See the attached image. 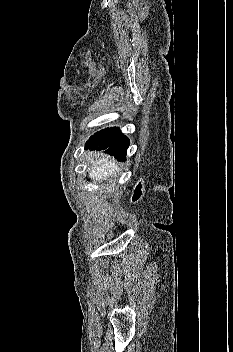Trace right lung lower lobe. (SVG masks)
I'll list each match as a JSON object with an SVG mask.
<instances>
[{
  "label": "right lung lower lobe",
  "instance_id": "obj_1",
  "mask_svg": "<svg viewBox=\"0 0 233 352\" xmlns=\"http://www.w3.org/2000/svg\"><path fill=\"white\" fill-rule=\"evenodd\" d=\"M128 146V138L116 127L107 128L95 133L85 145L87 149L104 150L105 153L114 156L118 161L126 160L125 156Z\"/></svg>",
  "mask_w": 233,
  "mask_h": 352
}]
</instances>
